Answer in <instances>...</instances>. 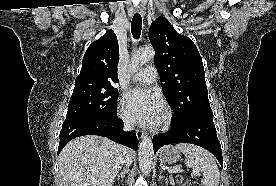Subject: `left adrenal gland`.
I'll return each instance as SVG.
<instances>
[{
  "instance_id": "a2214340",
  "label": "left adrenal gland",
  "mask_w": 276,
  "mask_h": 186,
  "mask_svg": "<svg viewBox=\"0 0 276 186\" xmlns=\"http://www.w3.org/2000/svg\"><path fill=\"white\" fill-rule=\"evenodd\" d=\"M161 179H165V182H166V183L168 182V180H167L165 177H163V176H162V173L160 172V173H159V177H158V181H160Z\"/></svg>"
}]
</instances>
